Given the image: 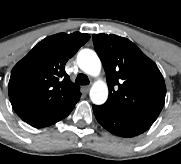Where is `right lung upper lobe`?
<instances>
[{"mask_svg": "<svg viewBox=\"0 0 181 164\" xmlns=\"http://www.w3.org/2000/svg\"><path fill=\"white\" fill-rule=\"evenodd\" d=\"M89 38L80 32L49 36L14 66L9 98L23 121L51 125L72 111L80 99V87L71 82L64 68Z\"/></svg>", "mask_w": 181, "mask_h": 164, "instance_id": "right-lung-upper-lobe-1", "label": "right lung upper lobe"}]
</instances>
